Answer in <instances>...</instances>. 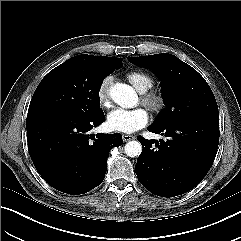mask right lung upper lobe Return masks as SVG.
<instances>
[{"instance_id": "1", "label": "right lung upper lobe", "mask_w": 241, "mask_h": 241, "mask_svg": "<svg viewBox=\"0 0 241 241\" xmlns=\"http://www.w3.org/2000/svg\"><path fill=\"white\" fill-rule=\"evenodd\" d=\"M76 57L85 62L98 63L102 65H115V64H120L121 62V58L92 56V55L89 56L87 54L77 55Z\"/></svg>"}]
</instances>
